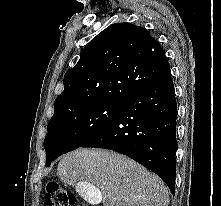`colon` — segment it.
Listing matches in <instances>:
<instances>
[{
  "label": "colon",
  "instance_id": "1",
  "mask_svg": "<svg viewBox=\"0 0 221 206\" xmlns=\"http://www.w3.org/2000/svg\"><path fill=\"white\" fill-rule=\"evenodd\" d=\"M44 206H76V198L73 192L51 181L46 187Z\"/></svg>",
  "mask_w": 221,
  "mask_h": 206
}]
</instances>
